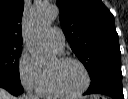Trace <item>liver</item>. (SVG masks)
<instances>
[{"instance_id": "obj_1", "label": "liver", "mask_w": 128, "mask_h": 99, "mask_svg": "<svg viewBox=\"0 0 128 99\" xmlns=\"http://www.w3.org/2000/svg\"><path fill=\"white\" fill-rule=\"evenodd\" d=\"M0 99H15L12 95H10L6 90L0 88ZM21 99H26L25 97Z\"/></svg>"}]
</instances>
